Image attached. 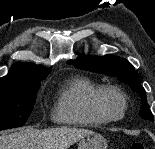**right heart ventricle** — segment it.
Segmentation results:
<instances>
[{"mask_svg": "<svg viewBox=\"0 0 155 149\" xmlns=\"http://www.w3.org/2000/svg\"><path fill=\"white\" fill-rule=\"evenodd\" d=\"M99 85L85 77H73L60 89L54 102L52 118L58 124L97 127L108 122L94 108Z\"/></svg>", "mask_w": 155, "mask_h": 149, "instance_id": "right-heart-ventricle-1", "label": "right heart ventricle"}]
</instances>
